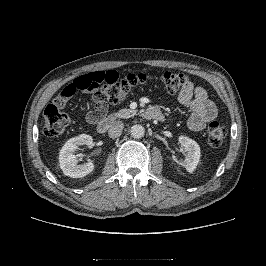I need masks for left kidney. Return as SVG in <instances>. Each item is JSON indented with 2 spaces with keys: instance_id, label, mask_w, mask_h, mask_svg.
I'll list each match as a JSON object with an SVG mask.
<instances>
[{
  "instance_id": "5707ae66",
  "label": "left kidney",
  "mask_w": 266,
  "mask_h": 266,
  "mask_svg": "<svg viewBox=\"0 0 266 266\" xmlns=\"http://www.w3.org/2000/svg\"><path fill=\"white\" fill-rule=\"evenodd\" d=\"M179 143L187 151V156L184 161L179 164L185 167L188 172L192 173L200 161V146L196 141L186 136H180Z\"/></svg>"
}]
</instances>
